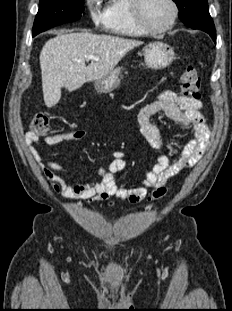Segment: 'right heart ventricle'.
<instances>
[{"label": "right heart ventricle", "instance_id": "e07e8e85", "mask_svg": "<svg viewBox=\"0 0 232 311\" xmlns=\"http://www.w3.org/2000/svg\"><path fill=\"white\" fill-rule=\"evenodd\" d=\"M104 27L120 36L140 37L145 34L133 21L130 0H109Z\"/></svg>", "mask_w": 232, "mask_h": 311}]
</instances>
